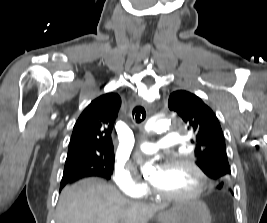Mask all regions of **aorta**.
<instances>
[{
	"mask_svg": "<svg viewBox=\"0 0 267 223\" xmlns=\"http://www.w3.org/2000/svg\"><path fill=\"white\" fill-rule=\"evenodd\" d=\"M171 122L167 119H150L146 125L145 130L148 132L154 131H166L169 129ZM155 170L151 163H146L143 168L142 172L145 174H150Z\"/></svg>",
	"mask_w": 267,
	"mask_h": 223,
	"instance_id": "762f6f07",
	"label": "aorta"
}]
</instances>
